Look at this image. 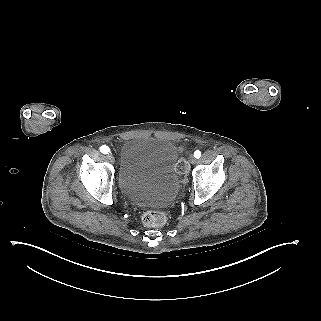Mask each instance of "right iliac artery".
I'll return each mask as SVG.
<instances>
[{"label":"right iliac artery","mask_w":321,"mask_h":321,"mask_svg":"<svg viewBox=\"0 0 321 321\" xmlns=\"http://www.w3.org/2000/svg\"><path fill=\"white\" fill-rule=\"evenodd\" d=\"M100 151L103 153V154H109L110 153V149L109 147L103 145L100 147Z\"/></svg>","instance_id":"right-iliac-artery-1"}]
</instances>
